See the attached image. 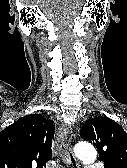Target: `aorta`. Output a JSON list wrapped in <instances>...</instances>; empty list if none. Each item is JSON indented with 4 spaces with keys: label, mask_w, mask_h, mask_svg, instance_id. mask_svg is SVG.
Masks as SVG:
<instances>
[{
    "label": "aorta",
    "mask_w": 127,
    "mask_h": 168,
    "mask_svg": "<svg viewBox=\"0 0 127 168\" xmlns=\"http://www.w3.org/2000/svg\"><path fill=\"white\" fill-rule=\"evenodd\" d=\"M75 154L84 164L93 163L96 160L97 152L93 145L87 142H81L76 145Z\"/></svg>",
    "instance_id": "1"
}]
</instances>
